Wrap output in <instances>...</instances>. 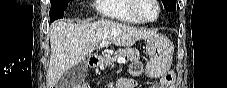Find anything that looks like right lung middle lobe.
I'll return each instance as SVG.
<instances>
[{
	"label": "right lung middle lobe",
	"mask_w": 227,
	"mask_h": 88,
	"mask_svg": "<svg viewBox=\"0 0 227 88\" xmlns=\"http://www.w3.org/2000/svg\"><path fill=\"white\" fill-rule=\"evenodd\" d=\"M70 0H51L50 21L53 22L59 18H63L64 11Z\"/></svg>",
	"instance_id": "dd1d6c3e"
}]
</instances>
